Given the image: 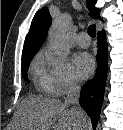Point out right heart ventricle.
<instances>
[{
  "label": "right heart ventricle",
  "mask_w": 123,
  "mask_h": 130,
  "mask_svg": "<svg viewBox=\"0 0 123 130\" xmlns=\"http://www.w3.org/2000/svg\"><path fill=\"white\" fill-rule=\"evenodd\" d=\"M34 77L42 90L49 92L47 82L42 73L41 57L38 55L33 64Z\"/></svg>",
  "instance_id": "e07e8e85"
}]
</instances>
